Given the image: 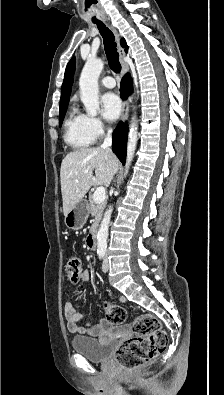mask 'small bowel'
<instances>
[{
  "label": "small bowel",
  "mask_w": 224,
  "mask_h": 395,
  "mask_svg": "<svg viewBox=\"0 0 224 395\" xmlns=\"http://www.w3.org/2000/svg\"><path fill=\"white\" fill-rule=\"evenodd\" d=\"M89 280L88 272L84 271L78 278V283H85ZM119 300L124 301L123 295L119 296ZM64 316L67 323V328L71 333L88 335V336H100L104 332H112L115 330L112 323L108 320H101L98 323H92L91 319L83 316L71 302H67L64 305ZM124 329V328H120Z\"/></svg>",
  "instance_id": "1"
}]
</instances>
